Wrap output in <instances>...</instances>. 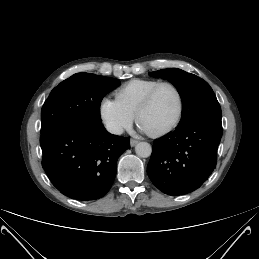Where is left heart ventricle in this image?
<instances>
[{"label":"left heart ventricle","mask_w":259,"mask_h":259,"mask_svg":"<svg viewBox=\"0 0 259 259\" xmlns=\"http://www.w3.org/2000/svg\"><path fill=\"white\" fill-rule=\"evenodd\" d=\"M178 112L176 93L169 87L160 88L152 104L141 118V126L149 132L159 131L167 127Z\"/></svg>","instance_id":"b2bd125f"}]
</instances>
